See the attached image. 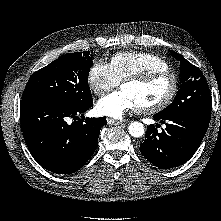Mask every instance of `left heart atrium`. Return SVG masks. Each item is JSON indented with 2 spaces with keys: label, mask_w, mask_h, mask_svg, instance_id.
<instances>
[{
  "label": "left heart atrium",
  "mask_w": 221,
  "mask_h": 221,
  "mask_svg": "<svg viewBox=\"0 0 221 221\" xmlns=\"http://www.w3.org/2000/svg\"><path fill=\"white\" fill-rule=\"evenodd\" d=\"M139 108L133 97L124 90L116 91L101 98L96 105V111L103 116L115 119L122 118L130 111Z\"/></svg>",
  "instance_id": "obj_1"
}]
</instances>
